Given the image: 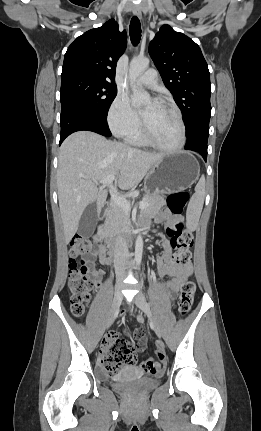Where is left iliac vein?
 I'll return each mask as SVG.
<instances>
[{"mask_svg": "<svg viewBox=\"0 0 261 431\" xmlns=\"http://www.w3.org/2000/svg\"><path fill=\"white\" fill-rule=\"evenodd\" d=\"M134 303L137 305V307L141 311H143L148 316V318L150 319V321L152 323V326L154 328L155 333L157 334L158 337H161L162 336L161 327H160L159 323L156 321V319L154 318V316L150 310V306H149L148 302L146 301V298L142 292H138L135 295Z\"/></svg>", "mask_w": 261, "mask_h": 431, "instance_id": "left-iliac-vein-1", "label": "left iliac vein"}]
</instances>
